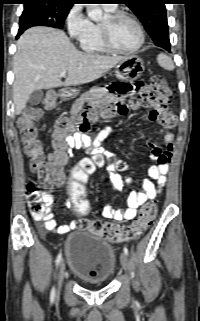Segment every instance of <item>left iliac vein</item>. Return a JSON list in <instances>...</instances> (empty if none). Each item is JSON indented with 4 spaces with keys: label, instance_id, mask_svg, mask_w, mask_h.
Returning a JSON list of instances; mask_svg holds the SVG:
<instances>
[{
    "label": "left iliac vein",
    "instance_id": "1",
    "mask_svg": "<svg viewBox=\"0 0 200 321\" xmlns=\"http://www.w3.org/2000/svg\"><path fill=\"white\" fill-rule=\"evenodd\" d=\"M120 261L123 269L127 271L129 269V260L125 253H122L120 256Z\"/></svg>",
    "mask_w": 200,
    "mask_h": 321
}]
</instances>
